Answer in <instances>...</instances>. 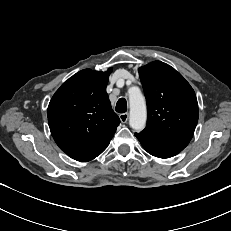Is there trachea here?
<instances>
[{"mask_svg": "<svg viewBox=\"0 0 231 231\" xmlns=\"http://www.w3.org/2000/svg\"><path fill=\"white\" fill-rule=\"evenodd\" d=\"M115 110H116L118 113H125V112L127 111V101H126L125 98H120V99L117 101Z\"/></svg>", "mask_w": 231, "mask_h": 231, "instance_id": "obj_1", "label": "trachea"}]
</instances>
